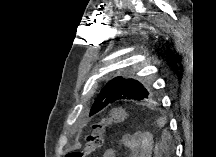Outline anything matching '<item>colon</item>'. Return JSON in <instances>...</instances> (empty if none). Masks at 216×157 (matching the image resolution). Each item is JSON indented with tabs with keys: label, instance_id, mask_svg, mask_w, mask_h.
<instances>
[{
	"label": "colon",
	"instance_id": "5ec220e1",
	"mask_svg": "<svg viewBox=\"0 0 216 157\" xmlns=\"http://www.w3.org/2000/svg\"><path fill=\"white\" fill-rule=\"evenodd\" d=\"M129 113L121 107L111 110V112L98 120L91 127L90 132L86 137L85 146L82 150L71 151L66 154V157H87L100 149L103 145L104 134L109 126L114 123H119L127 120Z\"/></svg>",
	"mask_w": 216,
	"mask_h": 157
}]
</instances>
